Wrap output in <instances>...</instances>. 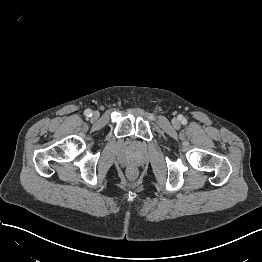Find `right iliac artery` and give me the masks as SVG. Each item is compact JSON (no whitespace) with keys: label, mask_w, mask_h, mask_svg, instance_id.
Wrapping results in <instances>:
<instances>
[{"label":"right iliac artery","mask_w":262,"mask_h":262,"mask_svg":"<svg viewBox=\"0 0 262 262\" xmlns=\"http://www.w3.org/2000/svg\"><path fill=\"white\" fill-rule=\"evenodd\" d=\"M85 115H86L87 117H91V116H92V111H91L90 109H87V110L85 111Z\"/></svg>","instance_id":"1"}]
</instances>
